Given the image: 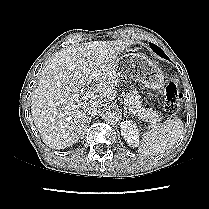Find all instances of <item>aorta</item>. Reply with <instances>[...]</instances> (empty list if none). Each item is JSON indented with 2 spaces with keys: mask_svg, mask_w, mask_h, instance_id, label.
<instances>
[{
  "mask_svg": "<svg viewBox=\"0 0 209 209\" xmlns=\"http://www.w3.org/2000/svg\"><path fill=\"white\" fill-rule=\"evenodd\" d=\"M103 119L108 124H115L120 119V114L114 110H108L104 113Z\"/></svg>",
  "mask_w": 209,
  "mask_h": 209,
  "instance_id": "aorta-1",
  "label": "aorta"
}]
</instances>
